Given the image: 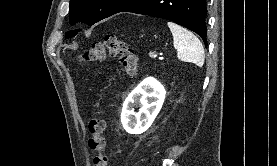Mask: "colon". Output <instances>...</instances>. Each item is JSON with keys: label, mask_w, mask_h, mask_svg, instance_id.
I'll list each match as a JSON object with an SVG mask.
<instances>
[{"label": "colon", "mask_w": 277, "mask_h": 166, "mask_svg": "<svg viewBox=\"0 0 277 166\" xmlns=\"http://www.w3.org/2000/svg\"><path fill=\"white\" fill-rule=\"evenodd\" d=\"M107 57L118 59L124 72L132 76L137 72L138 59L134 51L125 41L116 35H106L102 41L93 43L81 54L83 62L96 63L105 60ZM105 121L96 113L89 121V147L95 152L93 158L94 166H107L108 157L105 154Z\"/></svg>", "instance_id": "obj_1"}]
</instances>
